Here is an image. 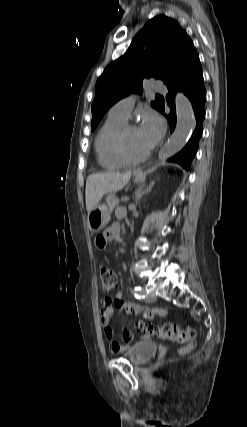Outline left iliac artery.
<instances>
[{
	"instance_id": "obj_1",
	"label": "left iliac artery",
	"mask_w": 247,
	"mask_h": 427,
	"mask_svg": "<svg viewBox=\"0 0 247 427\" xmlns=\"http://www.w3.org/2000/svg\"><path fill=\"white\" fill-rule=\"evenodd\" d=\"M134 296L137 299H142V298L145 297V292H144V290L140 286H137V287L134 288Z\"/></svg>"
}]
</instances>
